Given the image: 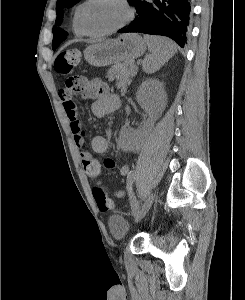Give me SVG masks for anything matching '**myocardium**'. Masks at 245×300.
Instances as JSON below:
<instances>
[{
  "label": "myocardium",
  "instance_id": "myocardium-1",
  "mask_svg": "<svg viewBox=\"0 0 245 300\" xmlns=\"http://www.w3.org/2000/svg\"><path fill=\"white\" fill-rule=\"evenodd\" d=\"M93 1L94 0H84L79 5L77 12H76V22H77L79 28L81 29V31L88 36L101 37V36L110 35L116 31L122 29L123 27H125L127 24H129L132 21V19L134 17V9L132 8L129 0H118L122 4V6L124 7V9L126 11L125 18L119 24H117L116 26L109 28L107 30L99 31V32L88 31L82 23V12H83L84 8Z\"/></svg>",
  "mask_w": 245,
  "mask_h": 300
}]
</instances>
